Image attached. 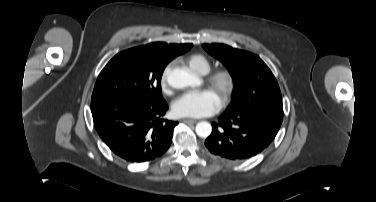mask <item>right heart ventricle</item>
Instances as JSON below:
<instances>
[{
	"mask_svg": "<svg viewBox=\"0 0 376 202\" xmlns=\"http://www.w3.org/2000/svg\"><path fill=\"white\" fill-rule=\"evenodd\" d=\"M185 62L192 71L201 75L208 73L211 67L209 59L201 53L188 56Z\"/></svg>",
	"mask_w": 376,
	"mask_h": 202,
	"instance_id": "1",
	"label": "right heart ventricle"
}]
</instances>
